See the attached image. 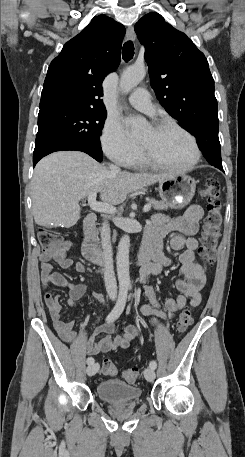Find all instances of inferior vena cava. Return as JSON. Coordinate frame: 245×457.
<instances>
[{"label":"inferior vena cava","mask_w":245,"mask_h":457,"mask_svg":"<svg viewBox=\"0 0 245 457\" xmlns=\"http://www.w3.org/2000/svg\"><path fill=\"white\" fill-rule=\"evenodd\" d=\"M120 170L121 168L116 166V164H109L110 174H116V172H120ZM110 233V226L107 220H105V222H103V226H101V243L105 257L104 281L108 295H110V297H116L117 283L115 279V273L113 271V253L110 241Z\"/></svg>","instance_id":"obj_1"}]
</instances>
